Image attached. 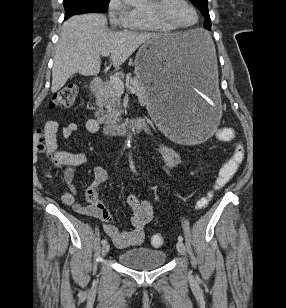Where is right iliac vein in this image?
Wrapping results in <instances>:
<instances>
[{"label": "right iliac vein", "instance_id": "right-iliac-vein-1", "mask_svg": "<svg viewBox=\"0 0 286 308\" xmlns=\"http://www.w3.org/2000/svg\"><path fill=\"white\" fill-rule=\"evenodd\" d=\"M109 249H110L109 243H105L102 246V255L105 256L109 252Z\"/></svg>", "mask_w": 286, "mask_h": 308}]
</instances>
